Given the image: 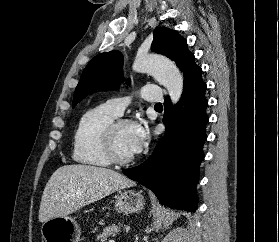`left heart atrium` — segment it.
Returning a JSON list of instances; mask_svg holds the SVG:
<instances>
[{
    "mask_svg": "<svg viewBox=\"0 0 279 242\" xmlns=\"http://www.w3.org/2000/svg\"><path fill=\"white\" fill-rule=\"evenodd\" d=\"M148 140V130L144 125H134L132 135V151L134 154L142 151Z\"/></svg>",
    "mask_w": 279,
    "mask_h": 242,
    "instance_id": "39dd6f15",
    "label": "left heart atrium"
}]
</instances>
